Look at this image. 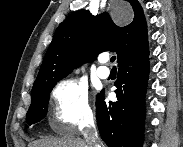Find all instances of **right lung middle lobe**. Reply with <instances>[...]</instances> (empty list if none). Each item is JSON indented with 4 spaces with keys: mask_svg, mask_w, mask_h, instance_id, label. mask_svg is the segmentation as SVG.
I'll return each instance as SVG.
<instances>
[{
    "mask_svg": "<svg viewBox=\"0 0 183 147\" xmlns=\"http://www.w3.org/2000/svg\"><path fill=\"white\" fill-rule=\"evenodd\" d=\"M59 80L44 88L32 91V102L26 115L29 125L39 122L46 116L50 92Z\"/></svg>",
    "mask_w": 183,
    "mask_h": 147,
    "instance_id": "obj_1",
    "label": "right lung middle lobe"
}]
</instances>
